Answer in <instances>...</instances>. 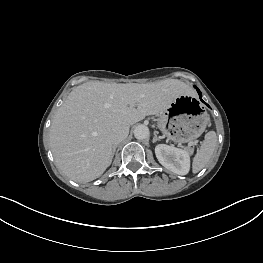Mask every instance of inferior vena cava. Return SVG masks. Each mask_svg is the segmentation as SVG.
<instances>
[{
  "mask_svg": "<svg viewBox=\"0 0 263 263\" xmlns=\"http://www.w3.org/2000/svg\"><path fill=\"white\" fill-rule=\"evenodd\" d=\"M129 133V127L127 126H118L113 129V132L111 133V140L114 145L119 144L123 139H125L128 136Z\"/></svg>",
  "mask_w": 263,
  "mask_h": 263,
  "instance_id": "obj_1",
  "label": "inferior vena cava"
}]
</instances>
